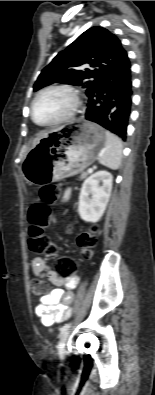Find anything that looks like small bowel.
I'll return each mask as SVG.
<instances>
[{
    "instance_id": "small-bowel-1",
    "label": "small bowel",
    "mask_w": 155,
    "mask_h": 395,
    "mask_svg": "<svg viewBox=\"0 0 155 395\" xmlns=\"http://www.w3.org/2000/svg\"><path fill=\"white\" fill-rule=\"evenodd\" d=\"M68 197L69 193H66L65 199ZM31 266L36 276L44 277L56 286L40 299V303L35 308V314L45 326L64 321L70 315L69 304L73 299L72 289L78 281L77 275H67L68 279L64 280V275H58L57 271L41 256L33 258Z\"/></svg>"
}]
</instances>
